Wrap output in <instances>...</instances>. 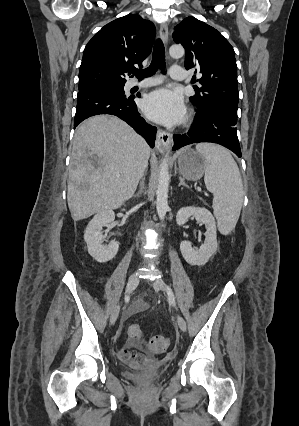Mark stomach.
<instances>
[{
	"label": "stomach",
	"instance_id": "stomach-1",
	"mask_svg": "<svg viewBox=\"0 0 299 426\" xmlns=\"http://www.w3.org/2000/svg\"><path fill=\"white\" fill-rule=\"evenodd\" d=\"M180 174L187 180H199L206 172L205 157L191 148L183 149L178 156Z\"/></svg>",
	"mask_w": 299,
	"mask_h": 426
}]
</instances>
